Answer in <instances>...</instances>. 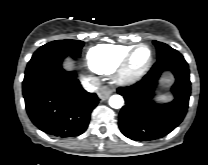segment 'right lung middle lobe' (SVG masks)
I'll return each mask as SVG.
<instances>
[{
  "instance_id": "obj_1",
  "label": "right lung middle lobe",
  "mask_w": 208,
  "mask_h": 165,
  "mask_svg": "<svg viewBox=\"0 0 208 165\" xmlns=\"http://www.w3.org/2000/svg\"><path fill=\"white\" fill-rule=\"evenodd\" d=\"M83 45H84L83 41L70 40V39L52 41L50 43H47V44L41 46L33 54L31 59H34V58L40 57L44 54H47L49 52L58 51V50H64L75 57H79Z\"/></svg>"
}]
</instances>
